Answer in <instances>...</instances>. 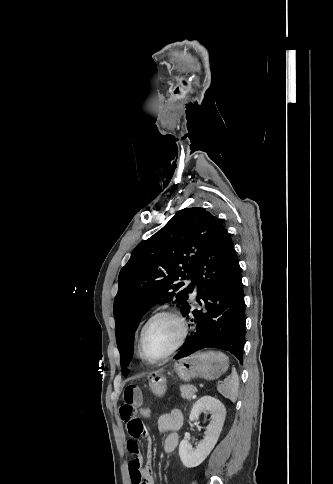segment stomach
I'll return each instance as SVG.
<instances>
[{
    "instance_id": "0dacf381",
    "label": "stomach",
    "mask_w": 333,
    "mask_h": 484,
    "mask_svg": "<svg viewBox=\"0 0 333 484\" xmlns=\"http://www.w3.org/2000/svg\"><path fill=\"white\" fill-rule=\"evenodd\" d=\"M228 369V359L217 351L197 352L175 361L173 373L184 381L200 377L207 380L219 378ZM167 371L160 369L149 374V387L154 395L161 397L166 391Z\"/></svg>"
}]
</instances>
